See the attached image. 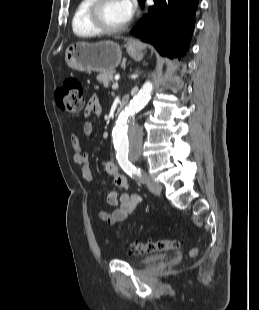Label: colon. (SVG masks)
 <instances>
[{"label":"colon","mask_w":259,"mask_h":310,"mask_svg":"<svg viewBox=\"0 0 259 310\" xmlns=\"http://www.w3.org/2000/svg\"><path fill=\"white\" fill-rule=\"evenodd\" d=\"M56 104L59 109L68 114H80L84 110L83 89L79 80L68 78L55 94ZM181 241L175 239H163L157 241H133L132 252L137 255L178 249ZM197 249L190 250V256H195Z\"/></svg>","instance_id":"colon-1"}]
</instances>
